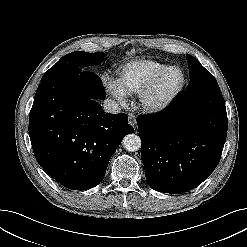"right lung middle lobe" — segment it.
Here are the masks:
<instances>
[{"mask_svg": "<svg viewBox=\"0 0 247 247\" xmlns=\"http://www.w3.org/2000/svg\"><path fill=\"white\" fill-rule=\"evenodd\" d=\"M104 58L103 52L88 53L83 51H75L65 55L60 61L53 65L45 74L51 75L59 71L81 68L86 70L91 65H97Z\"/></svg>", "mask_w": 247, "mask_h": 247, "instance_id": "obj_1", "label": "right lung middle lobe"}]
</instances>
